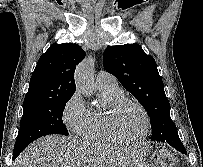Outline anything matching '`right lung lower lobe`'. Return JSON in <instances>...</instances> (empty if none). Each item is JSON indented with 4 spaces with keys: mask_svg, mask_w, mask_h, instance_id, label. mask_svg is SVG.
Returning <instances> with one entry per match:
<instances>
[{
    "mask_svg": "<svg viewBox=\"0 0 203 167\" xmlns=\"http://www.w3.org/2000/svg\"><path fill=\"white\" fill-rule=\"evenodd\" d=\"M21 153V152H20ZM20 153H16L14 156H13V159H15Z\"/></svg>",
    "mask_w": 203,
    "mask_h": 167,
    "instance_id": "obj_1",
    "label": "right lung lower lobe"
}]
</instances>
